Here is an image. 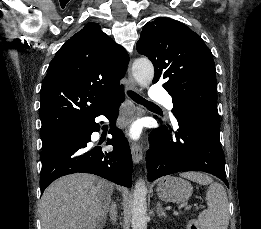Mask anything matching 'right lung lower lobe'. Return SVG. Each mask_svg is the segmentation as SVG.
<instances>
[{
	"instance_id": "obj_1",
	"label": "right lung lower lobe",
	"mask_w": 261,
	"mask_h": 229,
	"mask_svg": "<svg viewBox=\"0 0 261 229\" xmlns=\"http://www.w3.org/2000/svg\"><path fill=\"white\" fill-rule=\"evenodd\" d=\"M124 98L123 93L117 95L96 115H104L112 121L109 133L113 138L108 139L106 143L113 145L112 151H102L101 147L89 143L91 134L100 130V125L94 121L95 118L85 127L42 148L41 193L55 179L77 172L95 174L125 187L132 186L129 144L122 130L115 127L118 107Z\"/></svg>"
}]
</instances>
